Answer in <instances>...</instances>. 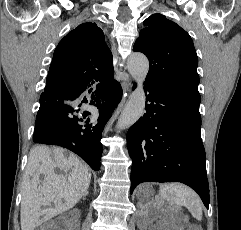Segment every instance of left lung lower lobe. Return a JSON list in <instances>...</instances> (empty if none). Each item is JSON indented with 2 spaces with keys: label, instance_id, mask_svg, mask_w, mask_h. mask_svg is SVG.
<instances>
[{
  "label": "left lung lower lobe",
  "instance_id": "left-lung-lower-lobe-1",
  "mask_svg": "<svg viewBox=\"0 0 241 230\" xmlns=\"http://www.w3.org/2000/svg\"><path fill=\"white\" fill-rule=\"evenodd\" d=\"M145 94L146 113L126 136L133 161L131 192L142 182L178 181L193 188L209 208L201 99L152 82L145 83Z\"/></svg>",
  "mask_w": 241,
  "mask_h": 230
}]
</instances>
